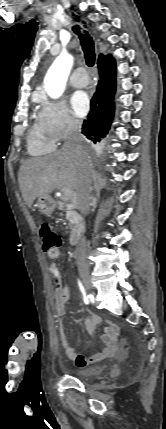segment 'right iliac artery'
I'll return each mask as SVG.
<instances>
[{
    "mask_svg": "<svg viewBox=\"0 0 166 429\" xmlns=\"http://www.w3.org/2000/svg\"><path fill=\"white\" fill-rule=\"evenodd\" d=\"M78 285H79V288H80V290H81V292H82V294H83V296H84V302H85V304H88V303H89V300H88L89 296H86L85 288H84V286L82 285V283H81V281H80V280H78Z\"/></svg>",
    "mask_w": 166,
    "mask_h": 429,
    "instance_id": "82829eb1",
    "label": "right iliac artery"
}]
</instances>
